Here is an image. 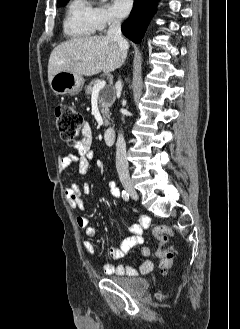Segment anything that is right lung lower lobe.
Segmentation results:
<instances>
[{"instance_id": "right-lung-lower-lobe-1", "label": "right lung lower lobe", "mask_w": 240, "mask_h": 329, "mask_svg": "<svg viewBox=\"0 0 240 329\" xmlns=\"http://www.w3.org/2000/svg\"><path fill=\"white\" fill-rule=\"evenodd\" d=\"M158 0H134L131 15L122 24L123 34L134 41L140 43L145 30L156 11Z\"/></svg>"}]
</instances>
